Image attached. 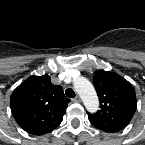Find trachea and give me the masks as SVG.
<instances>
[{
    "mask_svg": "<svg viewBox=\"0 0 145 145\" xmlns=\"http://www.w3.org/2000/svg\"><path fill=\"white\" fill-rule=\"evenodd\" d=\"M65 94H66V96L69 97V98L75 97V92H74L73 89H71V88L66 89Z\"/></svg>",
    "mask_w": 145,
    "mask_h": 145,
    "instance_id": "1",
    "label": "trachea"
}]
</instances>
